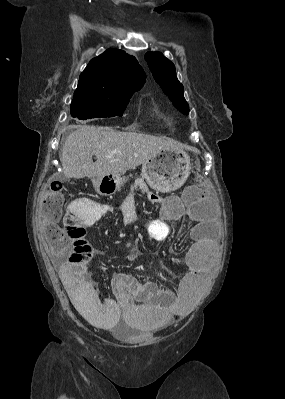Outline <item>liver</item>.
I'll use <instances>...</instances> for the list:
<instances>
[{
  "label": "liver",
  "mask_w": 285,
  "mask_h": 399,
  "mask_svg": "<svg viewBox=\"0 0 285 399\" xmlns=\"http://www.w3.org/2000/svg\"><path fill=\"white\" fill-rule=\"evenodd\" d=\"M175 148L173 141L154 135L80 125L67 137L60 160L66 178L94 180L106 175L121 176L159 151Z\"/></svg>",
  "instance_id": "1"
}]
</instances>
